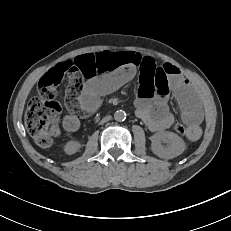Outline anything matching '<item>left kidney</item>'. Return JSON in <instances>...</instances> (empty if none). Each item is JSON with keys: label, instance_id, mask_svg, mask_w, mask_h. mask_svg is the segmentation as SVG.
I'll use <instances>...</instances> for the list:
<instances>
[{"label": "left kidney", "instance_id": "1", "mask_svg": "<svg viewBox=\"0 0 231 231\" xmlns=\"http://www.w3.org/2000/svg\"><path fill=\"white\" fill-rule=\"evenodd\" d=\"M151 149L154 154L163 159H172L181 155L186 149L184 140L177 134L169 131L155 133L151 137ZM166 143V146L162 145Z\"/></svg>", "mask_w": 231, "mask_h": 231}]
</instances>
